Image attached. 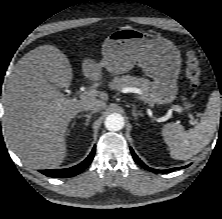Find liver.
<instances>
[{"instance_id":"liver-1","label":"liver","mask_w":222,"mask_h":219,"mask_svg":"<svg viewBox=\"0 0 222 219\" xmlns=\"http://www.w3.org/2000/svg\"><path fill=\"white\" fill-rule=\"evenodd\" d=\"M102 65L82 62L86 79L103 80ZM73 71L67 56L53 45H42L15 65L4 95L3 127L8 144L23 164L33 169L58 167L66 156V131L86 104L99 100L106 108L108 95L65 98L58 88H68ZM54 83L52 85L50 82Z\"/></svg>"}]
</instances>
